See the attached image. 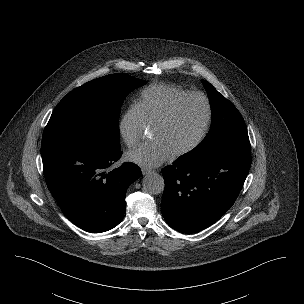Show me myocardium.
I'll use <instances>...</instances> for the list:
<instances>
[{"label":"myocardium","instance_id":"myocardium-1","mask_svg":"<svg viewBox=\"0 0 304 304\" xmlns=\"http://www.w3.org/2000/svg\"><path fill=\"white\" fill-rule=\"evenodd\" d=\"M191 98H199L201 99L206 108V117L203 124V127L199 133V135L196 137V139L187 147L183 148L182 150H179L178 152L173 154V158H181L184 157L193 151H195L205 140L209 129L211 127L212 118H213V109L210 99L202 92H189L187 94H184L177 98L175 101L171 103V105L167 108V110L164 112V114L156 121V123L152 126V129L159 128L165 124H167L171 118L174 116L175 112L179 108V106L185 102L188 99Z\"/></svg>","mask_w":304,"mask_h":304}]
</instances>
